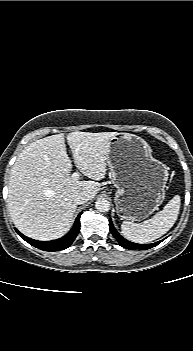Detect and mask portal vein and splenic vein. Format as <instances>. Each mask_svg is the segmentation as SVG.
Listing matches in <instances>:
<instances>
[{"mask_svg":"<svg viewBox=\"0 0 193 351\" xmlns=\"http://www.w3.org/2000/svg\"><path fill=\"white\" fill-rule=\"evenodd\" d=\"M79 176H80V174L78 173V172H75V173H73L72 175H71V177L73 178V179H78L79 178Z\"/></svg>","mask_w":193,"mask_h":351,"instance_id":"obj_1","label":"portal vein and splenic vein"}]
</instances>
